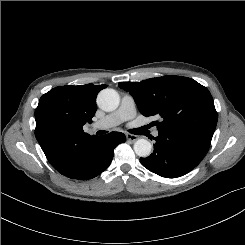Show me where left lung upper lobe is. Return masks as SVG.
I'll return each instance as SVG.
<instances>
[{
  "label": "left lung upper lobe",
  "instance_id": "obj_1",
  "mask_svg": "<svg viewBox=\"0 0 245 245\" xmlns=\"http://www.w3.org/2000/svg\"><path fill=\"white\" fill-rule=\"evenodd\" d=\"M139 111L146 117L158 115V130L189 129L213 136L217 112L208 89L187 77L168 75L141 82H121Z\"/></svg>",
  "mask_w": 245,
  "mask_h": 245
}]
</instances>
